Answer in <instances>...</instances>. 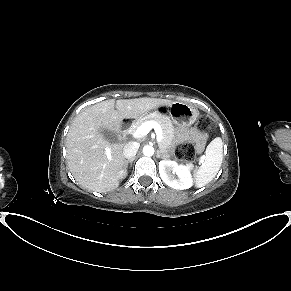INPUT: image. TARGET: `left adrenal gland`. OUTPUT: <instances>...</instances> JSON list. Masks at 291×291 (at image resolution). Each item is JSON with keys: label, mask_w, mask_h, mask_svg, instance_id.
<instances>
[{"label": "left adrenal gland", "mask_w": 291, "mask_h": 291, "mask_svg": "<svg viewBox=\"0 0 291 291\" xmlns=\"http://www.w3.org/2000/svg\"><path fill=\"white\" fill-rule=\"evenodd\" d=\"M157 157L165 158V156L162 154L161 150H157Z\"/></svg>", "instance_id": "a2214340"}]
</instances>
